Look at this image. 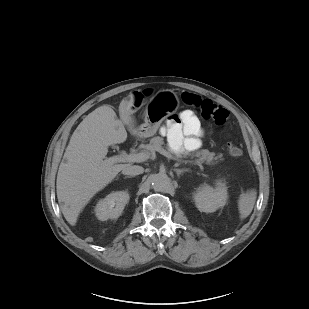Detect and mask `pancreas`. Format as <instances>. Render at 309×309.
<instances>
[{"label":"pancreas","mask_w":309,"mask_h":309,"mask_svg":"<svg viewBox=\"0 0 309 309\" xmlns=\"http://www.w3.org/2000/svg\"><path fill=\"white\" fill-rule=\"evenodd\" d=\"M164 144L163 138L157 136V137H153L149 144H146L143 148H144V152L150 154L153 153L155 151H158L159 149H163L162 145ZM168 154H169V158L175 159V160H180L183 157H187V156H192V157H197V161L198 162H206L207 164L210 165H214L216 163H218L219 161H222V154H218L216 156V154L214 152H210L207 149H202L199 151H196L192 154H190L189 152H185L183 154H177L174 155L170 150H168Z\"/></svg>","instance_id":"obj_1"}]
</instances>
